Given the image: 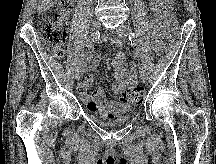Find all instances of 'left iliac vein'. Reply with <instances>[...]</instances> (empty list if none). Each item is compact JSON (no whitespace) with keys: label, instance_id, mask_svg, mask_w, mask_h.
<instances>
[{"label":"left iliac vein","instance_id":"4c4485c4","mask_svg":"<svg viewBox=\"0 0 216 164\" xmlns=\"http://www.w3.org/2000/svg\"><path fill=\"white\" fill-rule=\"evenodd\" d=\"M116 33L122 38H128L130 33H131V28L127 25H121V27L116 30ZM140 77H141L143 82L147 81L146 68H145V70H141Z\"/></svg>","mask_w":216,"mask_h":164}]
</instances>
